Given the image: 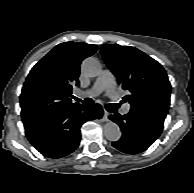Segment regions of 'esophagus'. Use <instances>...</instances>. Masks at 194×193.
<instances>
[{
  "label": "esophagus",
  "instance_id": "esophagus-1",
  "mask_svg": "<svg viewBox=\"0 0 194 193\" xmlns=\"http://www.w3.org/2000/svg\"><path fill=\"white\" fill-rule=\"evenodd\" d=\"M103 120L108 121L109 120V113L107 111H104Z\"/></svg>",
  "mask_w": 194,
  "mask_h": 193
}]
</instances>
